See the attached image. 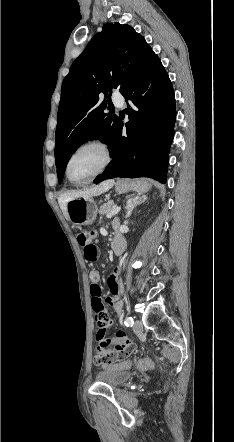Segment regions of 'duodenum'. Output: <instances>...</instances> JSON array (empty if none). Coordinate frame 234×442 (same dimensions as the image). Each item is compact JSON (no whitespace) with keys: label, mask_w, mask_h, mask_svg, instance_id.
Returning <instances> with one entry per match:
<instances>
[{"label":"duodenum","mask_w":234,"mask_h":442,"mask_svg":"<svg viewBox=\"0 0 234 442\" xmlns=\"http://www.w3.org/2000/svg\"><path fill=\"white\" fill-rule=\"evenodd\" d=\"M112 252L115 255H120L124 250V241L120 236H117L111 245Z\"/></svg>","instance_id":"duodenum-1"}]
</instances>
